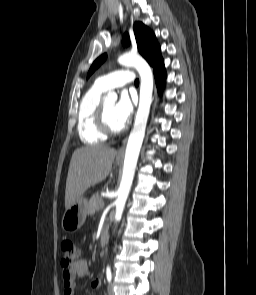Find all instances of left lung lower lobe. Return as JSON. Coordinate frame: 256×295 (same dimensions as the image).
I'll return each instance as SVG.
<instances>
[{
	"label": "left lung lower lobe",
	"instance_id": "0a47b994",
	"mask_svg": "<svg viewBox=\"0 0 256 295\" xmlns=\"http://www.w3.org/2000/svg\"><path fill=\"white\" fill-rule=\"evenodd\" d=\"M153 69H154V76H155L157 87H158L159 91L161 92V90L163 89V86H164L165 79H166V72H165L164 64L159 65L157 67H153Z\"/></svg>",
	"mask_w": 256,
	"mask_h": 295
}]
</instances>
